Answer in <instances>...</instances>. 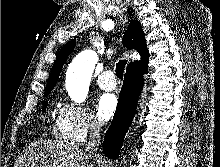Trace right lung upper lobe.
<instances>
[{
    "instance_id": "right-lung-upper-lobe-1",
    "label": "right lung upper lobe",
    "mask_w": 220,
    "mask_h": 167,
    "mask_svg": "<svg viewBox=\"0 0 220 167\" xmlns=\"http://www.w3.org/2000/svg\"><path fill=\"white\" fill-rule=\"evenodd\" d=\"M123 44L128 49H135L141 55V61H134L129 64L127 68L136 67L142 64L148 63L149 52L147 50V45L144 39V33L141 28L140 23L137 20H132L130 22L129 28L124 33ZM75 47V41L71 40L65 44L58 53L56 61L51 69L50 77L45 89V95L47 96L54 88L63 64L66 62L69 54L73 51Z\"/></svg>"
}]
</instances>
